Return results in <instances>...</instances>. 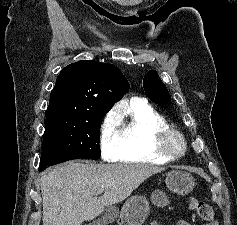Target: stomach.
<instances>
[{
	"instance_id": "stomach-1",
	"label": "stomach",
	"mask_w": 237,
	"mask_h": 225,
	"mask_svg": "<svg viewBox=\"0 0 237 225\" xmlns=\"http://www.w3.org/2000/svg\"><path fill=\"white\" fill-rule=\"evenodd\" d=\"M167 188L176 194L186 195L190 193L194 186L193 176L182 170H172L166 176ZM152 202L157 206H165L168 199L164 192L155 190L151 196ZM149 212V203L144 196L135 195L125 201L121 208L120 217L126 225H142Z\"/></svg>"
}]
</instances>
